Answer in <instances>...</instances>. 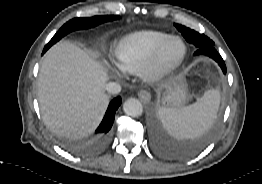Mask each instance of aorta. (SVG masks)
<instances>
[{"label": "aorta", "instance_id": "762f6f07", "mask_svg": "<svg viewBox=\"0 0 262 184\" xmlns=\"http://www.w3.org/2000/svg\"><path fill=\"white\" fill-rule=\"evenodd\" d=\"M124 112L131 117L141 116L143 113V106L136 98H129L123 104Z\"/></svg>", "mask_w": 262, "mask_h": 184}]
</instances>
